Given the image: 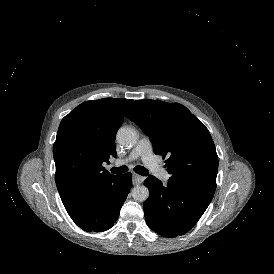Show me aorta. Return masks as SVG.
<instances>
[{
    "label": "aorta",
    "mask_w": 274,
    "mask_h": 274,
    "mask_svg": "<svg viewBox=\"0 0 274 274\" xmlns=\"http://www.w3.org/2000/svg\"><path fill=\"white\" fill-rule=\"evenodd\" d=\"M117 141L125 147L134 146L138 141L137 131L131 127H121L117 132ZM134 200L144 202L149 197V190L145 185H137L132 189Z\"/></svg>",
    "instance_id": "762f6f07"
}]
</instances>
